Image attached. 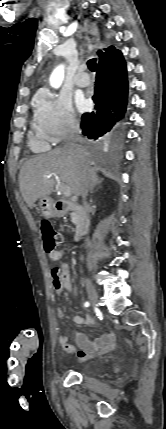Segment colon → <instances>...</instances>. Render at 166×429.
Returning a JSON list of instances; mask_svg holds the SVG:
<instances>
[{"label":"colon","instance_id":"colon-1","mask_svg":"<svg viewBox=\"0 0 166 429\" xmlns=\"http://www.w3.org/2000/svg\"><path fill=\"white\" fill-rule=\"evenodd\" d=\"M40 233L43 239L44 249L47 253L56 250L63 242V238L52 225L44 220L40 225Z\"/></svg>","mask_w":166,"mask_h":429}]
</instances>
